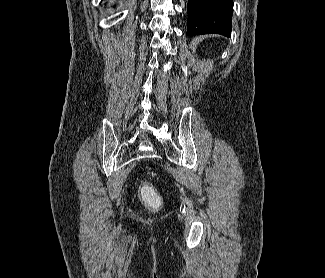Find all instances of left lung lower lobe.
<instances>
[{
	"mask_svg": "<svg viewBox=\"0 0 325 278\" xmlns=\"http://www.w3.org/2000/svg\"><path fill=\"white\" fill-rule=\"evenodd\" d=\"M232 10V0H188L187 34L216 33L229 37Z\"/></svg>",
	"mask_w": 325,
	"mask_h": 278,
	"instance_id": "1",
	"label": "left lung lower lobe"
}]
</instances>
